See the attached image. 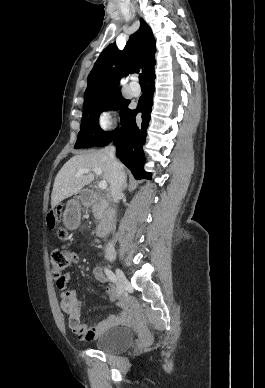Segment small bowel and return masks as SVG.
Returning <instances> with one entry per match:
<instances>
[{
    "instance_id": "small-bowel-1",
    "label": "small bowel",
    "mask_w": 265,
    "mask_h": 388,
    "mask_svg": "<svg viewBox=\"0 0 265 388\" xmlns=\"http://www.w3.org/2000/svg\"><path fill=\"white\" fill-rule=\"evenodd\" d=\"M93 277L100 283L107 281L104 271L100 265H96L93 269ZM65 285L61 293V309L67 315L68 327L72 332L77 335L81 340L93 341L106 329L119 324H127L131 322L130 316V301L127 297H120L117 305L121 309L119 315H112L107 320L100 322L99 324L89 327L81 322V307L82 302L77 298V293L74 290H67L66 284L70 278L69 273H65ZM115 293L114 288L109 287L107 289V295L111 296ZM58 327L61 330L65 329L64 319L61 318L58 321Z\"/></svg>"
}]
</instances>
